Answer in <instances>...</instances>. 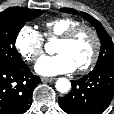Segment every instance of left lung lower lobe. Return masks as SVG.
<instances>
[{
    "mask_svg": "<svg viewBox=\"0 0 114 114\" xmlns=\"http://www.w3.org/2000/svg\"><path fill=\"white\" fill-rule=\"evenodd\" d=\"M71 83L70 93L58 100L60 107L68 114H101L114 96V67L94 69Z\"/></svg>",
    "mask_w": 114,
    "mask_h": 114,
    "instance_id": "0a47b994",
    "label": "left lung lower lobe"
}]
</instances>
